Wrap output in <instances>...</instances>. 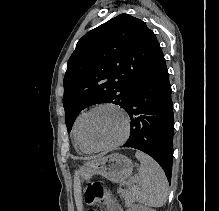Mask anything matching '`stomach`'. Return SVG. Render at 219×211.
Returning a JSON list of instances; mask_svg holds the SVG:
<instances>
[{"label": "stomach", "mask_w": 219, "mask_h": 211, "mask_svg": "<svg viewBox=\"0 0 219 211\" xmlns=\"http://www.w3.org/2000/svg\"><path fill=\"white\" fill-rule=\"evenodd\" d=\"M132 170L133 163L128 157L114 153L85 162L79 169V175L84 180H89L94 175H101L112 182L119 183L127 179Z\"/></svg>", "instance_id": "obj_1"}]
</instances>
